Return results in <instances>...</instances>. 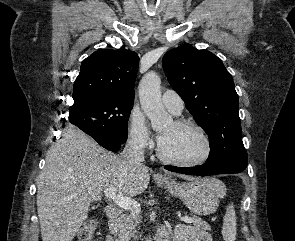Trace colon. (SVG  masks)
I'll return each instance as SVG.
<instances>
[{
  "mask_svg": "<svg viewBox=\"0 0 295 241\" xmlns=\"http://www.w3.org/2000/svg\"><path fill=\"white\" fill-rule=\"evenodd\" d=\"M96 229V224L93 221L86 222L80 232L79 239L80 241H91L93 239L94 233Z\"/></svg>",
  "mask_w": 295,
  "mask_h": 241,
  "instance_id": "1",
  "label": "colon"
}]
</instances>
